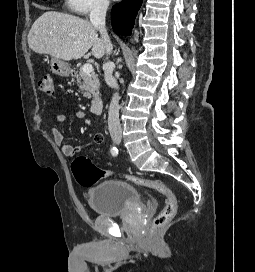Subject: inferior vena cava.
I'll return each mask as SVG.
<instances>
[{
  "label": "inferior vena cava",
  "mask_w": 255,
  "mask_h": 272,
  "mask_svg": "<svg viewBox=\"0 0 255 272\" xmlns=\"http://www.w3.org/2000/svg\"><path fill=\"white\" fill-rule=\"evenodd\" d=\"M109 6L108 0H99L92 8L90 12V22L99 30L101 39L105 44L106 54L110 55L113 46L110 42L109 35L105 27V17ZM115 68L113 62H107L103 65L104 79L112 88L118 89L117 80L113 77L112 73ZM108 129L110 135L122 133V128L119 120V95L115 93L112 97L110 107L108 110Z\"/></svg>",
  "instance_id": "1"
}]
</instances>
